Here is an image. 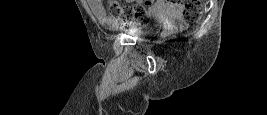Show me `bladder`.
<instances>
[{"instance_id": "31cf9c89", "label": "bladder", "mask_w": 267, "mask_h": 115, "mask_svg": "<svg viewBox=\"0 0 267 115\" xmlns=\"http://www.w3.org/2000/svg\"><path fill=\"white\" fill-rule=\"evenodd\" d=\"M150 33H151L150 30H148L147 28H142V27L136 28V29L130 31V34L132 36L140 37V38H145V37L149 36Z\"/></svg>"}]
</instances>
